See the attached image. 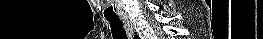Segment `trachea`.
Here are the masks:
<instances>
[{
    "mask_svg": "<svg viewBox=\"0 0 263 39\" xmlns=\"http://www.w3.org/2000/svg\"><path fill=\"white\" fill-rule=\"evenodd\" d=\"M111 27L113 39H128L120 18H106Z\"/></svg>",
    "mask_w": 263,
    "mask_h": 39,
    "instance_id": "trachea-1",
    "label": "trachea"
}]
</instances>
